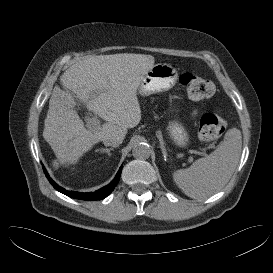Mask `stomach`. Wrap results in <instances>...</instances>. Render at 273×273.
Segmentation results:
<instances>
[{"label": "stomach", "mask_w": 273, "mask_h": 273, "mask_svg": "<svg viewBox=\"0 0 273 273\" xmlns=\"http://www.w3.org/2000/svg\"><path fill=\"white\" fill-rule=\"evenodd\" d=\"M178 73L176 68L170 64H155L141 80L138 93L149 96L158 92L167 91L176 84ZM170 138L178 146H186L189 135L184 126L177 122H171L167 128Z\"/></svg>", "instance_id": "stomach-1"}]
</instances>
